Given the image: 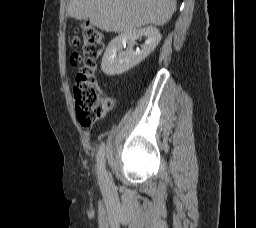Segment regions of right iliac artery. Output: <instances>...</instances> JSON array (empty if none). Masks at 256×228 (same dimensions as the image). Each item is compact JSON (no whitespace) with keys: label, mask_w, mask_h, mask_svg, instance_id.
Here are the masks:
<instances>
[{"label":"right iliac artery","mask_w":256,"mask_h":228,"mask_svg":"<svg viewBox=\"0 0 256 228\" xmlns=\"http://www.w3.org/2000/svg\"><path fill=\"white\" fill-rule=\"evenodd\" d=\"M103 143H106V140H103ZM97 164H98L99 178L101 180L103 179L104 182H108L107 172H106V168H105V149H104V147H101L98 151Z\"/></svg>","instance_id":"1"}]
</instances>
